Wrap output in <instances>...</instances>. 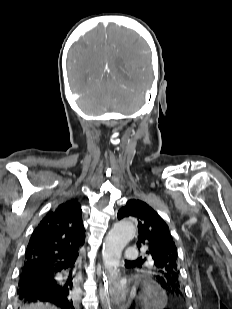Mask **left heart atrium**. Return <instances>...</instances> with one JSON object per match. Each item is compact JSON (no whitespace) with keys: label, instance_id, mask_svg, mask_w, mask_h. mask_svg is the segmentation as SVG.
Returning a JSON list of instances; mask_svg holds the SVG:
<instances>
[{"label":"left heart atrium","instance_id":"obj_1","mask_svg":"<svg viewBox=\"0 0 232 309\" xmlns=\"http://www.w3.org/2000/svg\"><path fill=\"white\" fill-rule=\"evenodd\" d=\"M126 297L124 288L117 286L110 290V298L115 302H122Z\"/></svg>","mask_w":232,"mask_h":309}]
</instances>
